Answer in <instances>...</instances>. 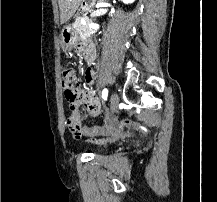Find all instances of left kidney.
Returning a JSON list of instances; mask_svg holds the SVG:
<instances>
[{
	"mask_svg": "<svg viewBox=\"0 0 217 202\" xmlns=\"http://www.w3.org/2000/svg\"><path fill=\"white\" fill-rule=\"evenodd\" d=\"M121 2H124V4H133L135 0H121Z\"/></svg>",
	"mask_w": 217,
	"mask_h": 202,
	"instance_id": "left-kidney-1",
	"label": "left kidney"
}]
</instances>
